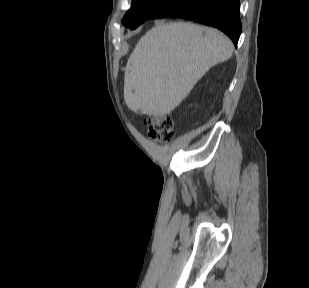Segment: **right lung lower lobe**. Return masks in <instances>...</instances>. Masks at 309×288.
Masks as SVG:
<instances>
[{"instance_id":"obj_1","label":"right lung lower lobe","mask_w":309,"mask_h":288,"mask_svg":"<svg viewBox=\"0 0 309 288\" xmlns=\"http://www.w3.org/2000/svg\"><path fill=\"white\" fill-rule=\"evenodd\" d=\"M177 17L213 26L227 34L235 46L241 33L239 0H172L149 19Z\"/></svg>"}]
</instances>
